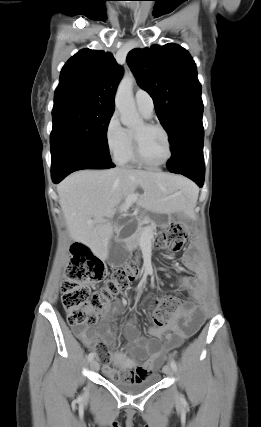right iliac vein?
<instances>
[{
    "label": "right iliac vein",
    "instance_id": "right-iliac-vein-1",
    "mask_svg": "<svg viewBox=\"0 0 261 427\" xmlns=\"http://www.w3.org/2000/svg\"><path fill=\"white\" fill-rule=\"evenodd\" d=\"M90 366L91 369L94 371H97L99 369V363L96 360H92Z\"/></svg>",
    "mask_w": 261,
    "mask_h": 427
}]
</instances>
